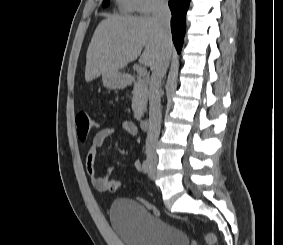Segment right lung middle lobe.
I'll list each match as a JSON object with an SVG mask.
<instances>
[{"instance_id":"dd1d6c3e","label":"right lung middle lobe","mask_w":283,"mask_h":245,"mask_svg":"<svg viewBox=\"0 0 283 245\" xmlns=\"http://www.w3.org/2000/svg\"><path fill=\"white\" fill-rule=\"evenodd\" d=\"M108 3H109V0H103V7H107L108 6Z\"/></svg>"}]
</instances>
